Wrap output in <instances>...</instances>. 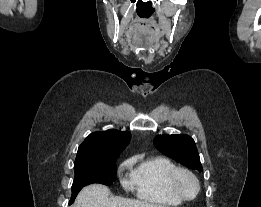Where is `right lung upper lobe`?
Here are the masks:
<instances>
[{
    "label": "right lung upper lobe",
    "instance_id": "obj_1",
    "mask_svg": "<svg viewBox=\"0 0 261 207\" xmlns=\"http://www.w3.org/2000/svg\"><path fill=\"white\" fill-rule=\"evenodd\" d=\"M130 138V132H121L116 129L93 132L79 146L74 165L108 162L119 157L128 145Z\"/></svg>",
    "mask_w": 261,
    "mask_h": 207
}]
</instances>
